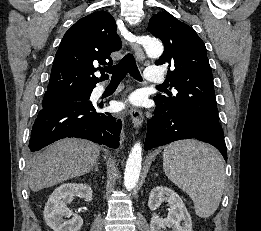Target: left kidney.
I'll return each instance as SVG.
<instances>
[{"label": "left kidney", "mask_w": 261, "mask_h": 231, "mask_svg": "<svg viewBox=\"0 0 261 231\" xmlns=\"http://www.w3.org/2000/svg\"><path fill=\"white\" fill-rule=\"evenodd\" d=\"M168 202L170 211L167 218H159L156 213L152 214L150 231H162L172 228L173 231H192V220L185 204L180 196L170 188L154 187L149 195L148 207L155 211L162 202ZM181 222H183L181 224Z\"/></svg>", "instance_id": "1"}]
</instances>
